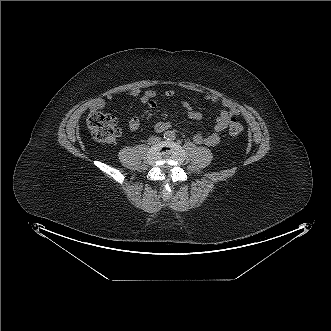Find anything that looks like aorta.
Listing matches in <instances>:
<instances>
[{
  "label": "aorta",
  "mask_w": 331,
  "mask_h": 331,
  "mask_svg": "<svg viewBox=\"0 0 331 331\" xmlns=\"http://www.w3.org/2000/svg\"><path fill=\"white\" fill-rule=\"evenodd\" d=\"M164 137L167 138V139H172V138L175 137V134H174V132H172V131H166V132L164 133Z\"/></svg>",
  "instance_id": "obj_1"
}]
</instances>
